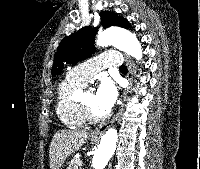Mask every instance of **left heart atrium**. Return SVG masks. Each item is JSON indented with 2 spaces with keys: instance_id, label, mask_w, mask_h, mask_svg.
I'll use <instances>...</instances> for the list:
<instances>
[{
  "instance_id": "39dd6f15",
  "label": "left heart atrium",
  "mask_w": 200,
  "mask_h": 169,
  "mask_svg": "<svg viewBox=\"0 0 200 169\" xmlns=\"http://www.w3.org/2000/svg\"><path fill=\"white\" fill-rule=\"evenodd\" d=\"M96 101L104 115L108 114L116 103L118 89L110 80H104L96 91Z\"/></svg>"
}]
</instances>
